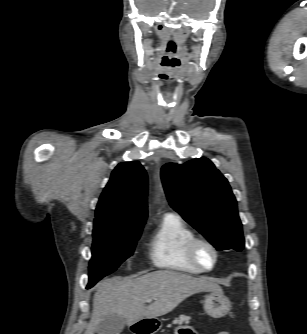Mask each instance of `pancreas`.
Segmentation results:
<instances>
[{
	"mask_svg": "<svg viewBox=\"0 0 307 334\" xmlns=\"http://www.w3.org/2000/svg\"><path fill=\"white\" fill-rule=\"evenodd\" d=\"M190 317L189 316H185V315H180L179 318H176L174 321H173V324H182V323H186L188 324L189 321H190ZM168 328L171 327V325H168L167 326Z\"/></svg>",
	"mask_w": 307,
	"mask_h": 334,
	"instance_id": "obj_1",
	"label": "pancreas"
}]
</instances>
